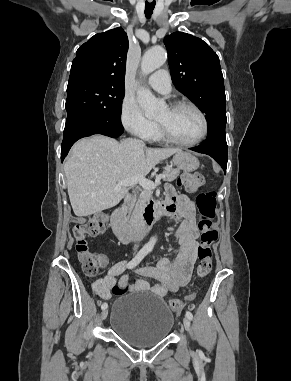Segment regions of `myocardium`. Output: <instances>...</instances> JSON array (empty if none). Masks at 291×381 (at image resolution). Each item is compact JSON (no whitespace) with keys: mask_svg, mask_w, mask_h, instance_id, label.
Here are the masks:
<instances>
[{"mask_svg":"<svg viewBox=\"0 0 291 381\" xmlns=\"http://www.w3.org/2000/svg\"><path fill=\"white\" fill-rule=\"evenodd\" d=\"M168 108L171 111H176V110H179L181 108H190V109L194 110L201 118L202 131H201L200 135L192 141H181V140L175 138L162 124H160L159 122H156L158 133L163 139H165L166 141H168L172 144H175V145L184 146V147H191V146H195V145L199 144L207 136L208 130H209V123H208L207 116L201 110V108H199L196 104L189 102V101H179V102L173 103Z\"/></svg>","mask_w":291,"mask_h":381,"instance_id":"myocardium-1","label":"myocardium"}]
</instances>
